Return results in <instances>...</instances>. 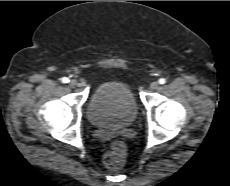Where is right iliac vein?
I'll return each mask as SVG.
<instances>
[{
	"mask_svg": "<svg viewBox=\"0 0 230 186\" xmlns=\"http://www.w3.org/2000/svg\"><path fill=\"white\" fill-rule=\"evenodd\" d=\"M69 85L71 86V87H75V86H77L78 85V82L76 81V80H71L70 82H69Z\"/></svg>",
	"mask_w": 230,
	"mask_h": 186,
	"instance_id": "obj_1",
	"label": "right iliac vein"
}]
</instances>
